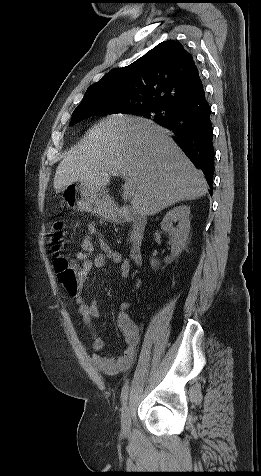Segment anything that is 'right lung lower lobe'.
<instances>
[{
  "instance_id": "1",
  "label": "right lung lower lobe",
  "mask_w": 261,
  "mask_h": 476,
  "mask_svg": "<svg viewBox=\"0 0 261 476\" xmlns=\"http://www.w3.org/2000/svg\"><path fill=\"white\" fill-rule=\"evenodd\" d=\"M211 108L204 90L192 102L178 107L167 118L155 121L175 135V142L189 157L197 169L212 183L214 174L213 127Z\"/></svg>"
}]
</instances>
